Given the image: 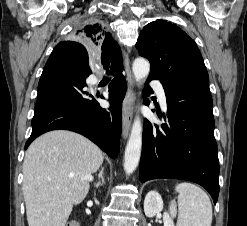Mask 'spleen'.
I'll return each mask as SVG.
<instances>
[{
  "mask_svg": "<svg viewBox=\"0 0 247 226\" xmlns=\"http://www.w3.org/2000/svg\"><path fill=\"white\" fill-rule=\"evenodd\" d=\"M177 204L171 202V212H177V226H211L212 205L208 195L198 186L191 183H180L176 186Z\"/></svg>",
  "mask_w": 247,
  "mask_h": 226,
  "instance_id": "3e777b00",
  "label": "spleen"
}]
</instances>
